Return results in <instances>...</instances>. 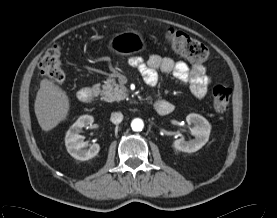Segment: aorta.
Returning a JSON list of instances; mask_svg holds the SVG:
<instances>
[{
	"label": "aorta",
	"mask_w": 277,
	"mask_h": 218,
	"mask_svg": "<svg viewBox=\"0 0 277 218\" xmlns=\"http://www.w3.org/2000/svg\"><path fill=\"white\" fill-rule=\"evenodd\" d=\"M131 127L133 131H142L144 127V122L142 119L135 118L131 122Z\"/></svg>",
	"instance_id": "aorta-1"
}]
</instances>
